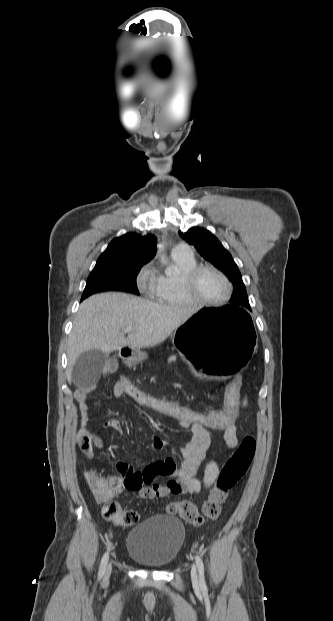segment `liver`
<instances>
[{
    "mask_svg": "<svg viewBox=\"0 0 333 621\" xmlns=\"http://www.w3.org/2000/svg\"><path fill=\"white\" fill-rule=\"evenodd\" d=\"M193 312L187 308L156 304L125 293H102L84 300L73 321L67 345V380L72 381L76 360L85 352L105 354L156 346L186 322ZM132 327L125 337L124 329Z\"/></svg>",
    "mask_w": 333,
    "mask_h": 621,
    "instance_id": "1",
    "label": "liver"
}]
</instances>
